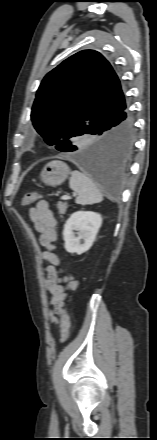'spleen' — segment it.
<instances>
[{"label": "spleen", "mask_w": 157, "mask_h": 440, "mask_svg": "<svg viewBox=\"0 0 157 440\" xmlns=\"http://www.w3.org/2000/svg\"><path fill=\"white\" fill-rule=\"evenodd\" d=\"M69 187L77 194L75 202L79 205H92L103 200V195L97 185L79 171L71 173Z\"/></svg>", "instance_id": "1"}]
</instances>
